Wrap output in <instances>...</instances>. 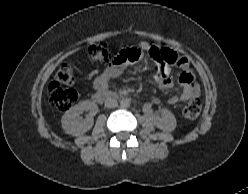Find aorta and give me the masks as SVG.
<instances>
[{
	"label": "aorta",
	"mask_w": 248,
	"mask_h": 194,
	"mask_svg": "<svg viewBox=\"0 0 248 194\" xmlns=\"http://www.w3.org/2000/svg\"><path fill=\"white\" fill-rule=\"evenodd\" d=\"M120 106L122 108H128L130 106V99L124 98L120 101Z\"/></svg>",
	"instance_id": "762f6f07"
}]
</instances>
